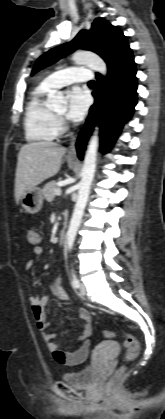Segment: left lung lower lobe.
I'll use <instances>...</instances> for the list:
<instances>
[{"label":"left lung lower lobe","instance_id":"obj_1","mask_svg":"<svg viewBox=\"0 0 165 419\" xmlns=\"http://www.w3.org/2000/svg\"><path fill=\"white\" fill-rule=\"evenodd\" d=\"M94 105L90 108L87 121L79 134L77 152L83 158L86 141L96 122L100 123L102 151L107 152L117 139L124 123L131 118L137 101L136 67L132 50L128 49L108 68L106 80L97 74ZM101 117L97 120V113Z\"/></svg>","mask_w":165,"mask_h":419}]
</instances>
